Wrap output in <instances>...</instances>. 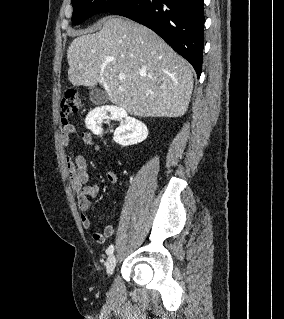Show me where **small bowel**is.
<instances>
[{
    "label": "small bowel",
    "instance_id": "small-bowel-1",
    "mask_svg": "<svg viewBox=\"0 0 284 319\" xmlns=\"http://www.w3.org/2000/svg\"><path fill=\"white\" fill-rule=\"evenodd\" d=\"M77 127L72 124L64 125L61 131V141L63 145H68L70 136L77 132ZM82 141L85 145L93 147L96 151H100L96 144L94 136L88 132L81 134ZM66 169L69 175L72 190L76 194L77 206L81 212L80 220L85 229L91 228L92 222L88 216L91 207V199L99 194V187L93 184L91 176L88 172V163L86 159L74 152H69L66 156ZM117 174L113 171L107 173V180L110 183L117 182ZM115 229L112 225H107L102 232L95 231L92 238L97 243H104L106 239L114 235Z\"/></svg>",
    "mask_w": 284,
    "mask_h": 319
}]
</instances>
